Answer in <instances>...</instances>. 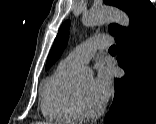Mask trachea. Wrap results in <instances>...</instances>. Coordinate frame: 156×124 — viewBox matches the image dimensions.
<instances>
[{"label":"trachea","instance_id":"obj_1","mask_svg":"<svg viewBox=\"0 0 156 124\" xmlns=\"http://www.w3.org/2000/svg\"><path fill=\"white\" fill-rule=\"evenodd\" d=\"M109 51H117L116 46H115V45L111 46V47L109 48Z\"/></svg>","mask_w":156,"mask_h":124}]
</instances>
